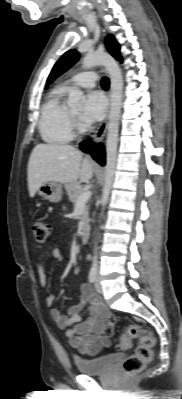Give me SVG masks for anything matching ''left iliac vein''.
<instances>
[{
	"mask_svg": "<svg viewBox=\"0 0 182 399\" xmlns=\"http://www.w3.org/2000/svg\"><path fill=\"white\" fill-rule=\"evenodd\" d=\"M95 289H96V291L98 293L102 292V287H101V284H100V276H99V274H97V277H96Z\"/></svg>",
	"mask_w": 182,
	"mask_h": 399,
	"instance_id": "4c4485c4",
	"label": "left iliac vein"
}]
</instances>
